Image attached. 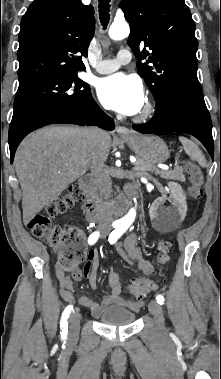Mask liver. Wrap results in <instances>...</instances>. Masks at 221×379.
I'll use <instances>...</instances> for the list:
<instances>
[{
	"instance_id": "6515ba94",
	"label": "liver",
	"mask_w": 221,
	"mask_h": 379,
	"mask_svg": "<svg viewBox=\"0 0 221 379\" xmlns=\"http://www.w3.org/2000/svg\"><path fill=\"white\" fill-rule=\"evenodd\" d=\"M87 128L49 126L27 136L19 145L14 165L22 189L23 222L29 223L56 200L67 186L91 168L94 157L105 162L111 136L103 132L97 142Z\"/></svg>"
}]
</instances>
